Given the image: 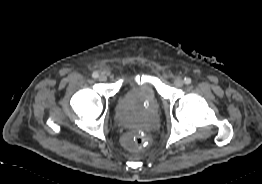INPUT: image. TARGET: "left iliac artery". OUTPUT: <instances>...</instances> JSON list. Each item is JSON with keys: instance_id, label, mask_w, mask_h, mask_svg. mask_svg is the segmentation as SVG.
Here are the masks:
<instances>
[{"instance_id": "obj_1", "label": "left iliac artery", "mask_w": 262, "mask_h": 184, "mask_svg": "<svg viewBox=\"0 0 262 184\" xmlns=\"http://www.w3.org/2000/svg\"><path fill=\"white\" fill-rule=\"evenodd\" d=\"M184 83L185 84H190L191 83V79L188 78V77L184 78Z\"/></svg>"}]
</instances>
